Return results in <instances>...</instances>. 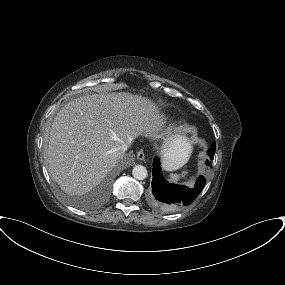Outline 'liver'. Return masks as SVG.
Segmentation results:
<instances>
[{
	"label": "liver",
	"instance_id": "obj_1",
	"mask_svg": "<svg viewBox=\"0 0 285 285\" xmlns=\"http://www.w3.org/2000/svg\"><path fill=\"white\" fill-rule=\"evenodd\" d=\"M163 119L158 106L141 95L102 92L74 99L52 123L49 173L66 193H87L123 157V144L140 135L156 137ZM184 145L190 146L186 140ZM184 154L177 138L164 150V158Z\"/></svg>",
	"mask_w": 285,
	"mask_h": 285
}]
</instances>
